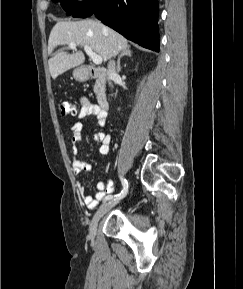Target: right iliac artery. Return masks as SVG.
<instances>
[{"label": "right iliac artery", "instance_id": "82829eb1", "mask_svg": "<svg viewBox=\"0 0 243 289\" xmlns=\"http://www.w3.org/2000/svg\"><path fill=\"white\" fill-rule=\"evenodd\" d=\"M120 180L123 186L122 191L117 195H111V194L107 195L104 199V202L109 201L111 199H122L123 197L126 196V194L128 193V182L123 176H120Z\"/></svg>", "mask_w": 243, "mask_h": 289}]
</instances>
